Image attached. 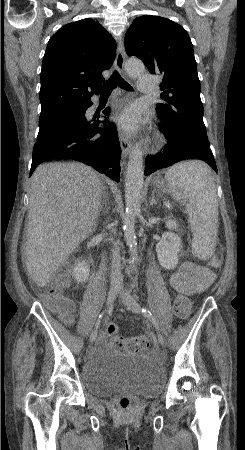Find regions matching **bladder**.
<instances>
[{
  "label": "bladder",
  "instance_id": "obj_1",
  "mask_svg": "<svg viewBox=\"0 0 245 450\" xmlns=\"http://www.w3.org/2000/svg\"><path fill=\"white\" fill-rule=\"evenodd\" d=\"M87 391L98 397L126 389L155 395L164 382L163 369L144 355L107 354L86 360L80 367Z\"/></svg>",
  "mask_w": 245,
  "mask_h": 450
}]
</instances>
